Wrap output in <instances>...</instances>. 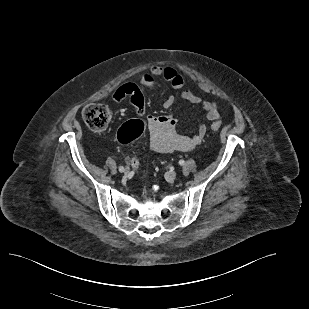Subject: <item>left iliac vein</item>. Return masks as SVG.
Instances as JSON below:
<instances>
[{
  "label": "left iliac vein",
  "mask_w": 309,
  "mask_h": 309,
  "mask_svg": "<svg viewBox=\"0 0 309 309\" xmlns=\"http://www.w3.org/2000/svg\"><path fill=\"white\" fill-rule=\"evenodd\" d=\"M165 178L169 182H173L177 178V173L174 171H168L165 175Z\"/></svg>",
  "instance_id": "left-iliac-vein-1"
}]
</instances>
